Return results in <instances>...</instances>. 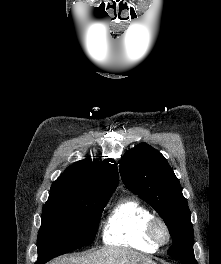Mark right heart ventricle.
Returning <instances> with one entry per match:
<instances>
[{
	"label": "right heart ventricle",
	"mask_w": 221,
	"mask_h": 264,
	"mask_svg": "<svg viewBox=\"0 0 221 264\" xmlns=\"http://www.w3.org/2000/svg\"><path fill=\"white\" fill-rule=\"evenodd\" d=\"M150 210L138 199H120L107 215L102 239L106 245L135 249L153 253L158 247L147 236V224L151 219Z\"/></svg>",
	"instance_id": "e07e8e85"
}]
</instances>
